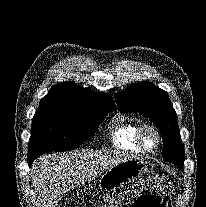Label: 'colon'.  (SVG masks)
Instances as JSON below:
<instances>
[{
    "label": "colon",
    "mask_w": 206,
    "mask_h": 207,
    "mask_svg": "<svg viewBox=\"0 0 206 207\" xmlns=\"http://www.w3.org/2000/svg\"><path fill=\"white\" fill-rule=\"evenodd\" d=\"M144 186L150 193H142ZM172 192L173 184L170 175L161 171L145 182L134 183L127 190L111 192L105 198L104 205L98 207H171Z\"/></svg>",
    "instance_id": "obj_1"
}]
</instances>
